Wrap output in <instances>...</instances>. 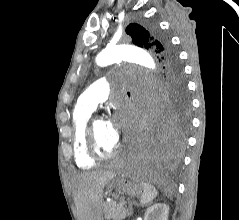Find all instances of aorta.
Listing matches in <instances>:
<instances>
[{
  "label": "aorta",
  "instance_id": "762f6f07",
  "mask_svg": "<svg viewBox=\"0 0 239 220\" xmlns=\"http://www.w3.org/2000/svg\"><path fill=\"white\" fill-rule=\"evenodd\" d=\"M125 45H111L102 50L96 57V63L99 66H107L121 61H134V65H144V71H152L153 78L155 75V64L150 57L151 52L148 48H124Z\"/></svg>",
  "mask_w": 239,
  "mask_h": 220
}]
</instances>
